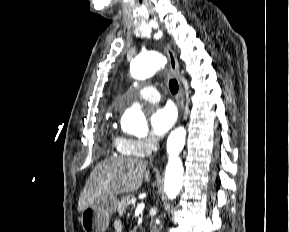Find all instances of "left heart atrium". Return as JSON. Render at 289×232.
Returning a JSON list of instances; mask_svg holds the SVG:
<instances>
[{
    "mask_svg": "<svg viewBox=\"0 0 289 232\" xmlns=\"http://www.w3.org/2000/svg\"><path fill=\"white\" fill-rule=\"evenodd\" d=\"M175 121L176 111L173 106L156 107L150 116L152 134L157 137H163L173 127Z\"/></svg>",
    "mask_w": 289,
    "mask_h": 232,
    "instance_id": "obj_1",
    "label": "left heart atrium"
}]
</instances>
